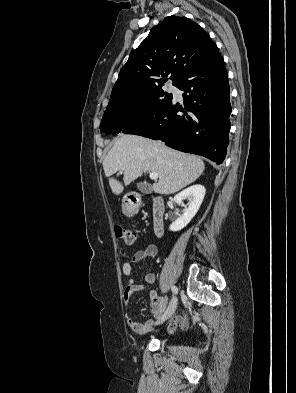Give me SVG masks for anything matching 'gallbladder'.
<instances>
[{
	"instance_id": "gallbladder-1",
	"label": "gallbladder",
	"mask_w": 296,
	"mask_h": 393,
	"mask_svg": "<svg viewBox=\"0 0 296 393\" xmlns=\"http://www.w3.org/2000/svg\"><path fill=\"white\" fill-rule=\"evenodd\" d=\"M137 189L145 194H149L152 192V187L149 184L143 182L137 183Z\"/></svg>"
}]
</instances>
